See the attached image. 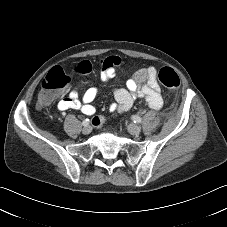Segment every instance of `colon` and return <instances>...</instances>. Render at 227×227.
Here are the masks:
<instances>
[{
  "mask_svg": "<svg viewBox=\"0 0 227 227\" xmlns=\"http://www.w3.org/2000/svg\"><path fill=\"white\" fill-rule=\"evenodd\" d=\"M93 65L90 61L83 60L74 66V71L79 74H88L92 71ZM159 82L167 89L176 90L180 86L178 74L169 67H164L158 72ZM70 77L61 66L53 67L41 82L38 105L49 104L61 90L68 87Z\"/></svg>",
  "mask_w": 227,
  "mask_h": 227,
  "instance_id": "1",
  "label": "colon"
}]
</instances>
